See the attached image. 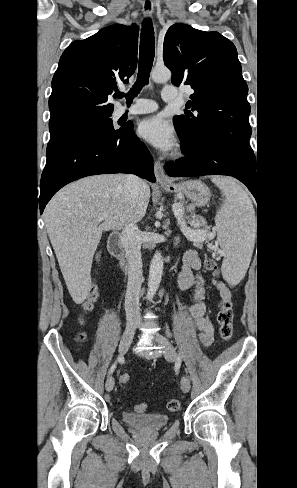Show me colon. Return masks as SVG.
<instances>
[{
    "mask_svg": "<svg viewBox=\"0 0 297 488\" xmlns=\"http://www.w3.org/2000/svg\"><path fill=\"white\" fill-rule=\"evenodd\" d=\"M204 267L207 271H209L213 276L218 275V264L216 260L209 256L206 255L204 258ZM97 298V287L96 285H93L91 287L90 293L83 305L84 311L89 312L93 304ZM218 325H219V335L222 341L228 342L233 336V311H232V306H231V301L230 300H221L220 302V310L218 313ZM78 339L82 341L84 339L83 334L78 335ZM119 384L122 387H126L129 384L130 381V376L128 371H123L122 375L119 377ZM147 408V405L142 403L138 404L135 406V411L136 412H143ZM167 408L171 412L178 411L180 408V400L178 398H173L171 399L168 404Z\"/></svg>",
    "mask_w": 297,
    "mask_h": 488,
    "instance_id": "5ec220e1",
    "label": "colon"
}]
</instances>
